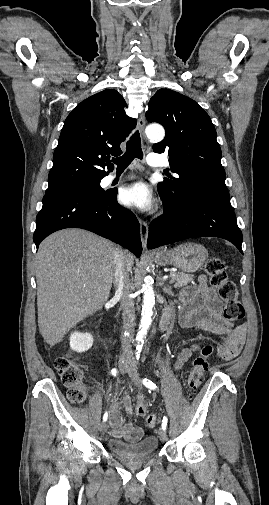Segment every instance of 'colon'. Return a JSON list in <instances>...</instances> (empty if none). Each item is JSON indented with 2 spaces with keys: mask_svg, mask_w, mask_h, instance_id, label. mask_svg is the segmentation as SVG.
<instances>
[{
  "mask_svg": "<svg viewBox=\"0 0 269 505\" xmlns=\"http://www.w3.org/2000/svg\"><path fill=\"white\" fill-rule=\"evenodd\" d=\"M205 272L210 283L218 291L220 299L224 302V318L229 322L241 320L244 317V307L238 298L236 285L228 277L223 262L217 257H210L205 262ZM213 353L212 346L203 347L199 356L193 361L188 377V387L191 395L195 394L203 382V376L208 368V359ZM54 366L65 386L69 388L68 399L73 404H81L86 399V391L82 385L83 372L81 368L67 355L58 357ZM136 413L140 416L146 414V407L142 397L136 405ZM157 420L153 415L146 418V425L154 427Z\"/></svg>",
  "mask_w": 269,
  "mask_h": 505,
  "instance_id": "5ec220e1",
  "label": "colon"
}]
</instances>
